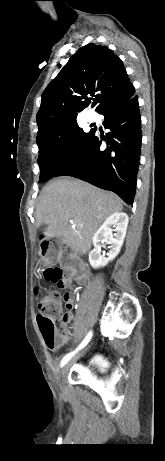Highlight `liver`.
Wrapping results in <instances>:
<instances>
[{"mask_svg":"<svg viewBox=\"0 0 165 461\" xmlns=\"http://www.w3.org/2000/svg\"><path fill=\"white\" fill-rule=\"evenodd\" d=\"M122 209V202L115 194L63 177L43 188L36 208V225L47 224L45 237H61L74 251L86 253L101 223Z\"/></svg>","mask_w":165,"mask_h":461,"instance_id":"obj_1","label":"liver"}]
</instances>
